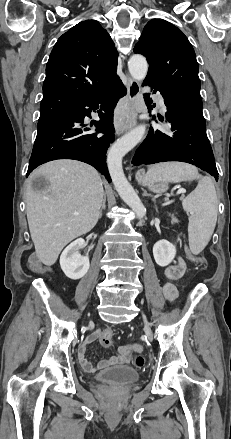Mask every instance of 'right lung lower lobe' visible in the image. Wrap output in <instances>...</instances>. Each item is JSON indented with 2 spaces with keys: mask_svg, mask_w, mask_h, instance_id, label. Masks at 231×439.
<instances>
[{
  "mask_svg": "<svg viewBox=\"0 0 231 439\" xmlns=\"http://www.w3.org/2000/svg\"><path fill=\"white\" fill-rule=\"evenodd\" d=\"M127 91L118 78L108 90L75 105L55 116L39 120L37 136L26 177L39 165L56 159H74L88 163L111 182L106 152L114 141L113 112L118 100ZM100 108L96 132L83 123L85 116ZM102 133L103 135H100Z\"/></svg>",
  "mask_w": 231,
  "mask_h": 439,
  "instance_id": "right-lung-lower-lobe-1",
  "label": "right lung lower lobe"
}]
</instances>
